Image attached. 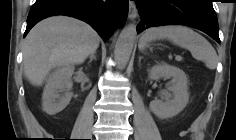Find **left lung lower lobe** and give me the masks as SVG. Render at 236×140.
Instances as JSON below:
<instances>
[{
	"label": "left lung lower lobe",
	"instance_id": "left-lung-lower-lobe-1",
	"mask_svg": "<svg viewBox=\"0 0 236 140\" xmlns=\"http://www.w3.org/2000/svg\"><path fill=\"white\" fill-rule=\"evenodd\" d=\"M141 22L137 32L163 25L199 29L219 42L218 21L212 0H137Z\"/></svg>",
	"mask_w": 236,
	"mask_h": 140
}]
</instances>
